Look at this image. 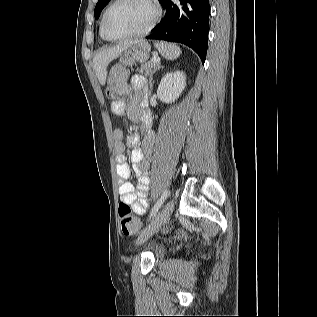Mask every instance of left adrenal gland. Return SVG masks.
<instances>
[{"instance_id":"obj_1","label":"left adrenal gland","mask_w":317,"mask_h":317,"mask_svg":"<svg viewBox=\"0 0 317 317\" xmlns=\"http://www.w3.org/2000/svg\"><path fill=\"white\" fill-rule=\"evenodd\" d=\"M160 68H163V66H161L160 64H157V67L155 68V70L153 71V73H155L157 70H159ZM152 73V74H153ZM152 74L150 75V81H149V83H150V91H152V89H153V78H152Z\"/></svg>"}]
</instances>
